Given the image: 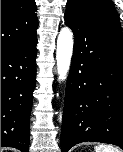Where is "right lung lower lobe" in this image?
Masks as SVG:
<instances>
[{"label": "right lung lower lobe", "mask_w": 123, "mask_h": 152, "mask_svg": "<svg viewBox=\"0 0 123 152\" xmlns=\"http://www.w3.org/2000/svg\"><path fill=\"white\" fill-rule=\"evenodd\" d=\"M37 38L1 49V147L29 150Z\"/></svg>", "instance_id": "right-lung-lower-lobe-1"}]
</instances>
